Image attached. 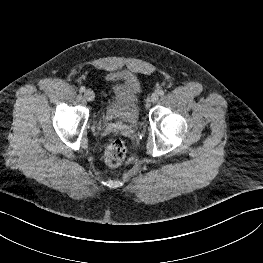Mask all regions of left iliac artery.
Here are the masks:
<instances>
[{
  "label": "left iliac artery",
  "instance_id": "44dca946",
  "mask_svg": "<svg viewBox=\"0 0 263 263\" xmlns=\"http://www.w3.org/2000/svg\"><path fill=\"white\" fill-rule=\"evenodd\" d=\"M158 94H159L160 96H163V95L165 94V92H164L163 90H160V91L158 92Z\"/></svg>",
  "mask_w": 263,
  "mask_h": 263
}]
</instances>
